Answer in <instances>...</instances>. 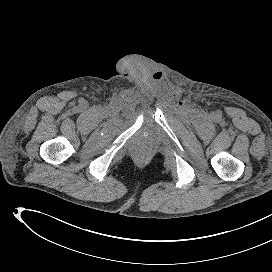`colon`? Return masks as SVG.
Instances as JSON below:
<instances>
[{"label": "colon", "mask_w": 272, "mask_h": 272, "mask_svg": "<svg viewBox=\"0 0 272 272\" xmlns=\"http://www.w3.org/2000/svg\"><path fill=\"white\" fill-rule=\"evenodd\" d=\"M140 153H141V155H145V151L144 150H142Z\"/></svg>", "instance_id": "colon-1"}]
</instances>
